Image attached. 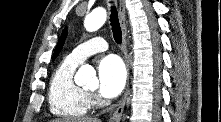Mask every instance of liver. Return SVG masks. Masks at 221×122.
Listing matches in <instances>:
<instances>
[{"label": "liver", "mask_w": 221, "mask_h": 122, "mask_svg": "<svg viewBox=\"0 0 221 122\" xmlns=\"http://www.w3.org/2000/svg\"><path fill=\"white\" fill-rule=\"evenodd\" d=\"M51 122H101V120L97 118H62V119H54Z\"/></svg>", "instance_id": "liver-1"}]
</instances>
